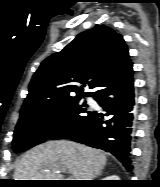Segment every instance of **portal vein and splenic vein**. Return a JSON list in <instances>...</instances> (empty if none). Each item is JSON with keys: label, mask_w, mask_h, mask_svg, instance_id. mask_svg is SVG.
I'll list each match as a JSON object with an SVG mask.
<instances>
[{"label": "portal vein and splenic vein", "mask_w": 160, "mask_h": 187, "mask_svg": "<svg viewBox=\"0 0 160 187\" xmlns=\"http://www.w3.org/2000/svg\"><path fill=\"white\" fill-rule=\"evenodd\" d=\"M59 172H60V171H59ZM68 180H74V179L70 177V178H68Z\"/></svg>", "instance_id": "portal-vein-and-splenic-vein-1"}]
</instances>
